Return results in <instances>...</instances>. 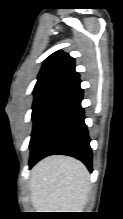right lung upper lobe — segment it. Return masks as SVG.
Listing matches in <instances>:
<instances>
[{
  "label": "right lung upper lobe",
  "mask_w": 123,
  "mask_h": 219,
  "mask_svg": "<svg viewBox=\"0 0 123 219\" xmlns=\"http://www.w3.org/2000/svg\"><path fill=\"white\" fill-rule=\"evenodd\" d=\"M77 78L79 74L75 71L74 58L57 51L43 63L35 88L56 81L73 82Z\"/></svg>",
  "instance_id": "1"
}]
</instances>
